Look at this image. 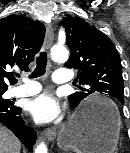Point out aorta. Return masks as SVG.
Wrapping results in <instances>:
<instances>
[{"label":"aorta","mask_w":130,"mask_h":153,"mask_svg":"<svg viewBox=\"0 0 130 153\" xmlns=\"http://www.w3.org/2000/svg\"><path fill=\"white\" fill-rule=\"evenodd\" d=\"M68 56L69 54L65 47L54 46L51 49L52 60L56 62H65L68 60ZM35 153H48L46 144L44 142L39 143L35 149Z\"/></svg>","instance_id":"762f6f07"}]
</instances>
